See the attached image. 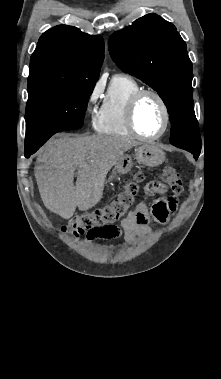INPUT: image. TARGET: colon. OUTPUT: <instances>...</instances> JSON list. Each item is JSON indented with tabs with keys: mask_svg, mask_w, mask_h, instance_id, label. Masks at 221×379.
<instances>
[{
	"mask_svg": "<svg viewBox=\"0 0 221 379\" xmlns=\"http://www.w3.org/2000/svg\"><path fill=\"white\" fill-rule=\"evenodd\" d=\"M144 174L136 173L131 180L125 183L117 199L110 205L92 212L80 213L73 216L63 226L62 232L74 237L87 235H101L116 227V223L126 218L135 203L139 192V185L144 180ZM162 180L170 190H180L183 185L180 174L173 167H165L161 175ZM161 187V184L155 183Z\"/></svg>",
	"mask_w": 221,
	"mask_h": 379,
	"instance_id": "1",
	"label": "colon"
}]
</instances>
